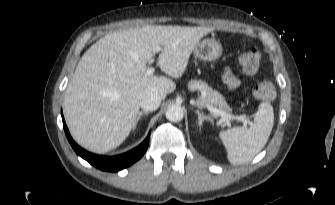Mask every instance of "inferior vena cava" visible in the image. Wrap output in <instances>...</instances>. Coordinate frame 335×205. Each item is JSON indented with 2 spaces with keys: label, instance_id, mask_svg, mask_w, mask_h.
<instances>
[{
  "label": "inferior vena cava",
  "instance_id": "602c4592",
  "mask_svg": "<svg viewBox=\"0 0 335 205\" xmlns=\"http://www.w3.org/2000/svg\"><path fill=\"white\" fill-rule=\"evenodd\" d=\"M161 96L156 90L145 91L140 98V106L145 111L156 110L161 103Z\"/></svg>",
  "mask_w": 335,
  "mask_h": 205
}]
</instances>
